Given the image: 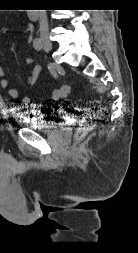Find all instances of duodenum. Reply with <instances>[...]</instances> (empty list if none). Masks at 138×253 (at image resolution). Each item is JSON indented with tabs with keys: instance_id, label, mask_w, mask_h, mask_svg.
Instances as JSON below:
<instances>
[{
	"instance_id": "410a0bca",
	"label": "duodenum",
	"mask_w": 138,
	"mask_h": 253,
	"mask_svg": "<svg viewBox=\"0 0 138 253\" xmlns=\"http://www.w3.org/2000/svg\"><path fill=\"white\" fill-rule=\"evenodd\" d=\"M28 17H29V19H31V20L36 19V18L38 17V10H37V9H30V10L28 11Z\"/></svg>"
}]
</instances>
